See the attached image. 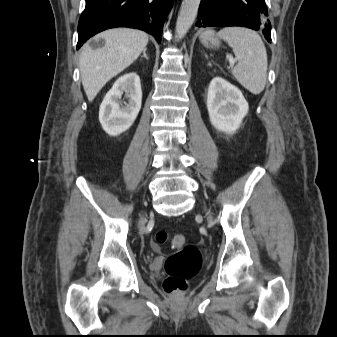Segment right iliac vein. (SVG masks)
Returning <instances> with one entry per match:
<instances>
[{"label": "right iliac vein", "mask_w": 337, "mask_h": 337, "mask_svg": "<svg viewBox=\"0 0 337 337\" xmlns=\"http://www.w3.org/2000/svg\"><path fill=\"white\" fill-rule=\"evenodd\" d=\"M140 228H144V218L142 217L139 222Z\"/></svg>", "instance_id": "right-iliac-vein-1"}]
</instances>
